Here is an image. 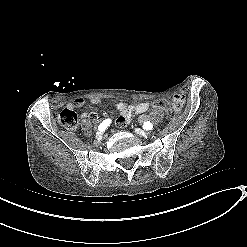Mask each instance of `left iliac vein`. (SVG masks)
Listing matches in <instances>:
<instances>
[{"mask_svg": "<svg viewBox=\"0 0 247 247\" xmlns=\"http://www.w3.org/2000/svg\"><path fill=\"white\" fill-rule=\"evenodd\" d=\"M135 132L141 136H146L148 133L140 128L135 129Z\"/></svg>", "mask_w": 247, "mask_h": 247, "instance_id": "left-iliac-vein-1", "label": "left iliac vein"}]
</instances>
